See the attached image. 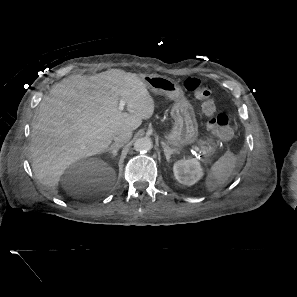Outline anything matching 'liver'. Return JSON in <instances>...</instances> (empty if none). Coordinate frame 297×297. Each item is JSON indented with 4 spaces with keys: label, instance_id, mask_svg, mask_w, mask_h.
<instances>
[{
    "label": "liver",
    "instance_id": "6515ba94",
    "mask_svg": "<svg viewBox=\"0 0 297 297\" xmlns=\"http://www.w3.org/2000/svg\"><path fill=\"white\" fill-rule=\"evenodd\" d=\"M120 100L127 111L119 109ZM146 84L134 73L111 69L70 76L43 98L31 132L32 169L53 194L64 171L79 159L104 152L116 131L137 129L154 112Z\"/></svg>",
    "mask_w": 297,
    "mask_h": 297
}]
</instances>
